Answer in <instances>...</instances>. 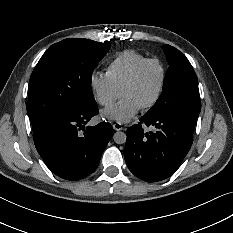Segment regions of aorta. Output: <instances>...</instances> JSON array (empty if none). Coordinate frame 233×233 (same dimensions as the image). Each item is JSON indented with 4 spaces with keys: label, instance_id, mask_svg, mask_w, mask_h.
<instances>
[{
    "label": "aorta",
    "instance_id": "1",
    "mask_svg": "<svg viewBox=\"0 0 233 233\" xmlns=\"http://www.w3.org/2000/svg\"><path fill=\"white\" fill-rule=\"evenodd\" d=\"M113 140L117 144H123L127 140V135L124 132L118 131L113 135Z\"/></svg>",
    "mask_w": 233,
    "mask_h": 233
}]
</instances>
